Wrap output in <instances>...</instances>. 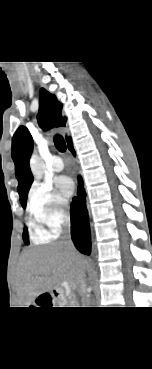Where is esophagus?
Returning a JSON list of instances; mask_svg holds the SVG:
<instances>
[{"mask_svg": "<svg viewBox=\"0 0 152 369\" xmlns=\"http://www.w3.org/2000/svg\"><path fill=\"white\" fill-rule=\"evenodd\" d=\"M75 180H76V185L78 187L79 186V174L78 173H76Z\"/></svg>", "mask_w": 152, "mask_h": 369, "instance_id": "obj_1", "label": "esophagus"}]
</instances>
